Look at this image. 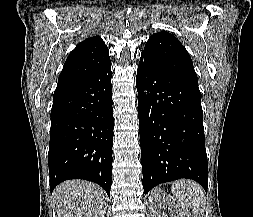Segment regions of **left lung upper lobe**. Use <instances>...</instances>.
<instances>
[{
	"label": "left lung upper lobe",
	"mask_w": 253,
	"mask_h": 217,
	"mask_svg": "<svg viewBox=\"0 0 253 217\" xmlns=\"http://www.w3.org/2000/svg\"><path fill=\"white\" fill-rule=\"evenodd\" d=\"M141 57L166 73L198 86V78L190 55L174 35L165 31L153 34L148 39Z\"/></svg>",
	"instance_id": "1"
}]
</instances>
